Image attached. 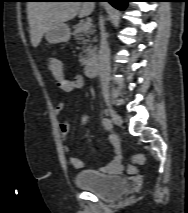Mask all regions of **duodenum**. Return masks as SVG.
<instances>
[{"label": "duodenum", "instance_id": "410a0bca", "mask_svg": "<svg viewBox=\"0 0 188 213\" xmlns=\"http://www.w3.org/2000/svg\"><path fill=\"white\" fill-rule=\"evenodd\" d=\"M98 63L95 60H90L85 65V73L88 77H95L98 74Z\"/></svg>", "mask_w": 188, "mask_h": 213}]
</instances>
